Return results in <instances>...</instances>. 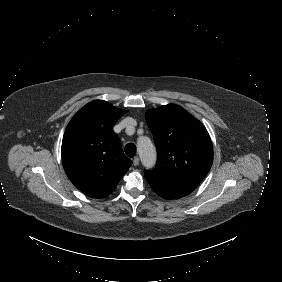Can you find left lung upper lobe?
Here are the masks:
<instances>
[{"instance_id":"left-lung-upper-lobe-1","label":"left lung upper lobe","mask_w":282,"mask_h":282,"mask_svg":"<svg viewBox=\"0 0 282 282\" xmlns=\"http://www.w3.org/2000/svg\"><path fill=\"white\" fill-rule=\"evenodd\" d=\"M158 159L146 173L166 183L198 186L213 162V147L204 125L182 107L168 104L148 110Z\"/></svg>"}]
</instances>
